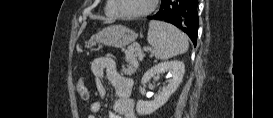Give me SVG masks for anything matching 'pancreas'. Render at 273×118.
I'll return each mask as SVG.
<instances>
[{
	"mask_svg": "<svg viewBox=\"0 0 273 118\" xmlns=\"http://www.w3.org/2000/svg\"><path fill=\"white\" fill-rule=\"evenodd\" d=\"M139 52L136 49H129L125 52V61L127 65L122 66V72L126 75H132L136 72L138 68V61L137 58L139 57Z\"/></svg>",
	"mask_w": 273,
	"mask_h": 118,
	"instance_id": "pancreas-1",
	"label": "pancreas"
}]
</instances>
